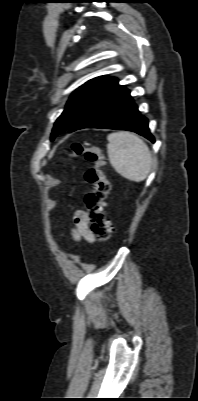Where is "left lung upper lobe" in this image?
Returning <instances> with one entry per match:
<instances>
[{
	"label": "left lung upper lobe",
	"instance_id": "left-lung-upper-lobe-1",
	"mask_svg": "<svg viewBox=\"0 0 198 401\" xmlns=\"http://www.w3.org/2000/svg\"><path fill=\"white\" fill-rule=\"evenodd\" d=\"M112 80L113 77L108 76L96 77L75 90L68 100L63 113L55 122L51 140L58 134L69 130L91 101L96 98Z\"/></svg>",
	"mask_w": 198,
	"mask_h": 401
}]
</instances>
